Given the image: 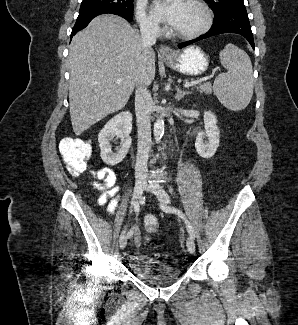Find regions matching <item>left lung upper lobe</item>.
I'll list each match as a JSON object with an SVG mask.
<instances>
[{
  "label": "left lung upper lobe",
  "mask_w": 298,
  "mask_h": 325,
  "mask_svg": "<svg viewBox=\"0 0 298 325\" xmlns=\"http://www.w3.org/2000/svg\"><path fill=\"white\" fill-rule=\"evenodd\" d=\"M215 12V17L221 15L224 11L236 7L244 6L243 0H205Z\"/></svg>",
  "instance_id": "1"
}]
</instances>
